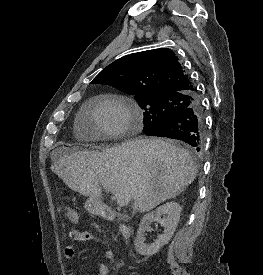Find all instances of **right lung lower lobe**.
Returning a JSON list of instances; mask_svg holds the SVG:
<instances>
[{
    "label": "right lung lower lobe",
    "instance_id": "1",
    "mask_svg": "<svg viewBox=\"0 0 263 275\" xmlns=\"http://www.w3.org/2000/svg\"><path fill=\"white\" fill-rule=\"evenodd\" d=\"M194 103L172 116L146 135L167 137L189 144L195 151H201L204 144L205 123L200 99L195 94Z\"/></svg>",
    "mask_w": 263,
    "mask_h": 275
}]
</instances>
